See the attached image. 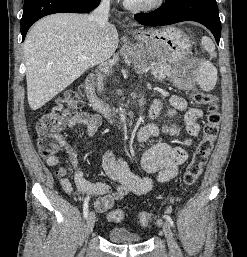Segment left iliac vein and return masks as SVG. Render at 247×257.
<instances>
[{
	"label": "left iliac vein",
	"mask_w": 247,
	"mask_h": 257,
	"mask_svg": "<svg viewBox=\"0 0 247 257\" xmlns=\"http://www.w3.org/2000/svg\"><path fill=\"white\" fill-rule=\"evenodd\" d=\"M162 228H163L164 235L167 239V243H168L170 252L173 255L179 256L180 251H179L178 245L174 239V236H173V233H172V230H171L169 224L167 222H164L162 225Z\"/></svg>",
	"instance_id": "4c4485c4"
}]
</instances>
